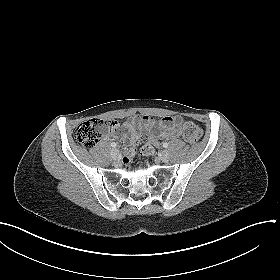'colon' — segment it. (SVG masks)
I'll list each match as a JSON object with an SVG mask.
<instances>
[{
	"instance_id": "obj_1",
	"label": "colon",
	"mask_w": 280,
	"mask_h": 280,
	"mask_svg": "<svg viewBox=\"0 0 280 280\" xmlns=\"http://www.w3.org/2000/svg\"><path fill=\"white\" fill-rule=\"evenodd\" d=\"M179 127L182 131L184 139L189 143H195L202 136L201 128L190 121H179ZM117 126L114 120L90 119L83 122L75 130V138L83 146L87 148L94 147L103 137L109 134ZM154 147L146 144L141 148L143 156L150 155ZM131 157L125 156L123 162L129 164Z\"/></svg>"
}]
</instances>
